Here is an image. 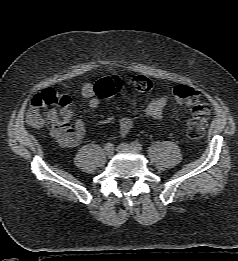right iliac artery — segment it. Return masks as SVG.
Returning <instances> with one entry per match:
<instances>
[{"label": "right iliac artery", "instance_id": "right-iliac-artery-1", "mask_svg": "<svg viewBox=\"0 0 238 261\" xmlns=\"http://www.w3.org/2000/svg\"><path fill=\"white\" fill-rule=\"evenodd\" d=\"M111 148H113L112 143L108 142V143L105 144V149H106L107 151H110Z\"/></svg>", "mask_w": 238, "mask_h": 261}]
</instances>
